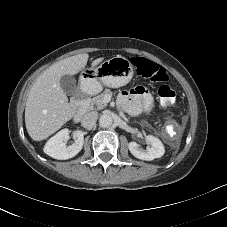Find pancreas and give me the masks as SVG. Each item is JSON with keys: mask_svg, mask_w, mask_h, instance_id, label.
Listing matches in <instances>:
<instances>
[{"mask_svg": "<svg viewBox=\"0 0 227 227\" xmlns=\"http://www.w3.org/2000/svg\"><path fill=\"white\" fill-rule=\"evenodd\" d=\"M110 94H111V91L109 89H106L103 93L93 97L91 101V108L96 110H101L104 107H106L107 103L105 101V97Z\"/></svg>", "mask_w": 227, "mask_h": 227, "instance_id": "pancreas-1", "label": "pancreas"}]
</instances>
